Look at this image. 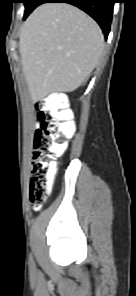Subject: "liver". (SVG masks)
Listing matches in <instances>:
<instances>
[{
    "mask_svg": "<svg viewBox=\"0 0 136 296\" xmlns=\"http://www.w3.org/2000/svg\"><path fill=\"white\" fill-rule=\"evenodd\" d=\"M103 49L99 25L80 9L66 3L38 6L22 25L19 40L32 100L77 89L98 64Z\"/></svg>",
    "mask_w": 136,
    "mask_h": 296,
    "instance_id": "6515ba94",
    "label": "liver"
}]
</instances>
